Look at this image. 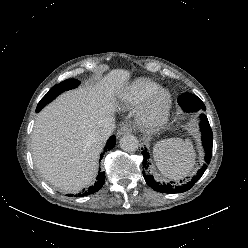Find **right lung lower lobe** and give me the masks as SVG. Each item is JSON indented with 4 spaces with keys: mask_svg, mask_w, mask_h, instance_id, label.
<instances>
[{
    "mask_svg": "<svg viewBox=\"0 0 248 248\" xmlns=\"http://www.w3.org/2000/svg\"><path fill=\"white\" fill-rule=\"evenodd\" d=\"M39 111L37 109V112H39ZM115 142H116L115 136H111L108 139L107 144L104 147L103 153L100 156V159H102V157H103V155H104V153L106 151L111 150L115 146ZM96 180H97V182L94 184V186L89 187L88 190H85L84 189L83 192H82V194H79V197L87 196V195H90V194H93V193L97 192L103 186V184L105 182V172H100L99 171V174H98ZM68 196H72V195L69 194ZM75 197H76V195H75Z\"/></svg>",
    "mask_w": 248,
    "mask_h": 248,
    "instance_id": "obj_1",
    "label": "right lung lower lobe"
}]
</instances>
